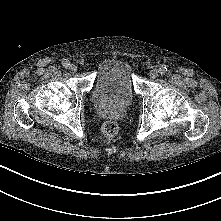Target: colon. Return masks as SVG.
<instances>
[{"label":"colon","mask_w":221,"mask_h":221,"mask_svg":"<svg viewBox=\"0 0 221 221\" xmlns=\"http://www.w3.org/2000/svg\"><path fill=\"white\" fill-rule=\"evenodd\" d=\"M102 132L106 137H113L118 132V125L115 121H106L102 127Z\"/></svg>","instance_id":"colon-1"}]
</instances>
